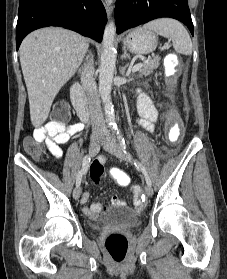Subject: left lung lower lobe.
Here are the masks:
<instances>
[{"label": "left lung lower lobe", "mask_w": 227, "mask_h": 279, "mask_svg": "<svg viewBox=\"0 0 227 279\" xmlns=\"http://www.w3.org/2000/svg\"><path fill=\"white\" fill-rule=\"evenodd\" d=\"M162 17L181 21L193 35V23L187 0H118L116 2L115 19L118 34Z\"/></svg>", "instance_id": "obj_1"}]
</instances>
